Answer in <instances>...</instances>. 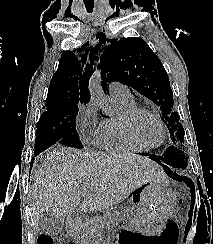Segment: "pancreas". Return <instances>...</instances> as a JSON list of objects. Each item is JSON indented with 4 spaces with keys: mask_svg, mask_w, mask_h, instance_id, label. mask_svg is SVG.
Here are the masks:
<instances>
[{
    "mask_svg": "<svg viewBox=\"0 0 213 244\" xmlns=\"http://www.w3.org/2000/svg\"><path fill=\"white\" fill-rule=\"evenodd\" d=\"M84 235L87 239L97 238V226L94 221L88 222L83 228Z\"/></svg>",
    "mask_w": 213,
    "mask_h": 244,
    "instance_id": "obj_1",
    "label": "pancreas"
}]
</instances>
